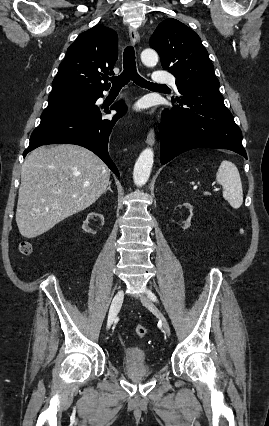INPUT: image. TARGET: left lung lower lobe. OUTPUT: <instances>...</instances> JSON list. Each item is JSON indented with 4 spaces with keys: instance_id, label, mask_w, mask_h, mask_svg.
<instances>
[{
    "instance_id": "0a47b994",
    "label": "left lung lower lobe",
    "mask_w": 269,
    "mask_h": 426,
    "mask_svg": "<svg viewBox=\"0 0 269 426\" xmlns=\"http://www.w3.org/2000/svg\"><path fill=\"white\" fill-rule=\"evenodd\" d=\"M175 101L179 105L162 113V164L200 147L229 149L247 159L241 130L225 107L219 87L183 92Z\"/></svg>"
}]
</instances>
